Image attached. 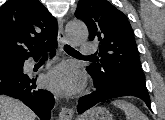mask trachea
<instances>
[{
    "label": "trachea",
    "mask_w": 165,
    "mask_h": 120,
    "mask_svg": "<svg viewBox=\"0 0 165 120\" xmlns=\"http://www.w3.org/2000/svg\"><path fill=\"white\" fill-rule=\"evenodd\" d=\"M64 50L71 55H81L77 50H75L74 48H72L69 45H65L64 46Z\"/></svg>",
    "instance_id": "trachea-1"
}]
</instances>
